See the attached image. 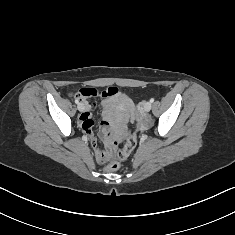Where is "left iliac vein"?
<instances>
[{
  "label": "left iliac vein",
  "instance_id": "1",
  "mask_svg": "<svg viewBox=\"0 0 235 235\" xmlns=\"http://www.w3.org/2000/svg\"><path fill=\"white\" fill-rule=\"evenodd\" d=\"M143 108L145 112H149L152 108L151 102H145Z\"/></svg>",
  "mask_w": 235,
  "mask_h": 235
}]
</instances>
